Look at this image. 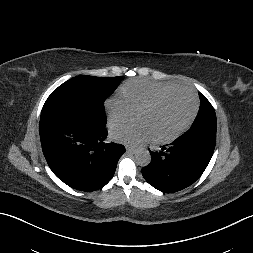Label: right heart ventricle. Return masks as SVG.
Segmentation results:
<instances>
[{"label": "right heart ventricle", "mask_w": 253, "mask_h": 253, "mask_svg": "<svg viewBox=\"0 0 253 253\" xmlns=\"http://www.w3.org/2000/svg\"><path fill=\"white\" fill-rule=\"evenodd\" d=\"M175 87L178 86L174 83L138 79L125 83L121 94L132 110H139L158 93Z\"/></svg>", "instance_id": "obj_1"}]
</instances>
